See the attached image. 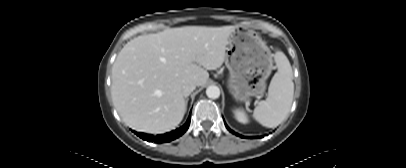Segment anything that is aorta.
I'll list each match as a JSON object with an SVG mask.
<instances>
[{"label":"aorta","instance_id":"aorta-1","mask_svg":"<svg viewBox=\"0 0 406 168\" xmlns=\"http://www.w3.org/2000/svg\"><path fill=\"white\" fill-rule=\"evenodd\" d=\"M206 95L211 99H217L220 96V89L215 85H211L207 87Z\"/></svg>","mask_w":406,"mask_h":168}]
</instances>
